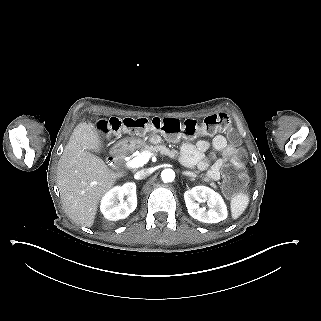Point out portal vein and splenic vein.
I'll list each match as a JSON object with an SVG mask.
<instances>
[{
  "label": "portal vein and splenic vein",
  "mask_w": 321,
  "mask_h": 321,
  "mask_svg": "<svg viewBox=\"0 0 321 321\" xmlns=\"http://www.w3.org/2000/svg\"><path fill=\"white\" fill-rule=\"evenodd\" d=\"M152 156H157V153L152 151H144L139 156L125 162V166L129 169L139 168L145 165Z\"/></svg>",
  "instance_id": "1"
}]
</instances>
